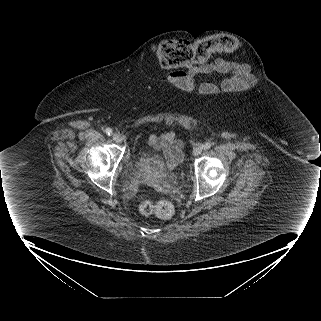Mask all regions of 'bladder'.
<instances>
[{
	"label": "bladder",
	"instance_id": "31cf9c89",
	"mask_svg": "<svg viewBox=\"0 0 321 321\" xmlns=\"http://www.w3.org/2000/svg\"><path fill=\"white\" fill-rule=\"evenodd\" d=\"M180 161L174 166L179 168ZM135 171L138 175L149 181H155L166 173L164 160L157 154L144 153L135 163Z\"/></svg>",
	"mask_w": 321,
	"mask_h": 321
}]
</instances>
